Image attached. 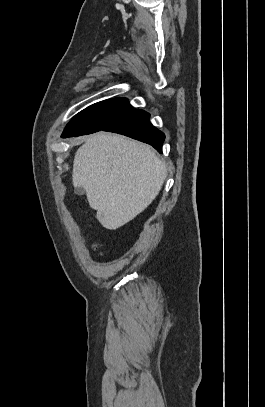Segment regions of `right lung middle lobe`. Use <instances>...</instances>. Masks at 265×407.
<instances>
[{
  "mask_svg": "<svg viewBox=\"0 0 265 407\" xmlns=\"http://www.w3.org/2000/svg\"><path fill=\"white\" fill-rule=\"evenodd\" d=\"M127 99L115 98L95 103L79 112L66 126L63 135L94 133L110 126L133 112Z\"/></svg>",
  "mask_w": 265,
  "mask_h": 407,
  "instance_id": "1",
  "label": "right lung middle lobe"
}]
</instances>
